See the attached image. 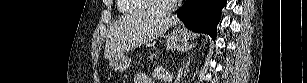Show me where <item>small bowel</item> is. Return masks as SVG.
Wrapping results in <instances>:
<instances>
[{
	"instance_id": "c3829d8e",
	"label": "small bowel",
	"mask_w": 307,
	"mask_h": 83,
	"mask_svg": "<svg viewBox=\"0 0 307 83\" xmlns=\"http://www.w3.org/2000/svg\"><path fill=\"white\" fill-rule=\"evenodd\" d=\"M135 83H153L152 79L144 73H139L135 75Z\"/></svg>"
}]
</instances>
